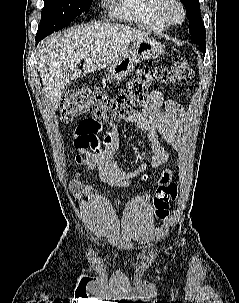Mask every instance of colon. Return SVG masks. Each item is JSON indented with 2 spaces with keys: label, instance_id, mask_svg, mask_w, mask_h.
I'll return each mask as SVG.
<instances>
[{
  "label": "colon",
  "instance_id": "1",
  "mask_svg": "<svg viewBox=\"0 0 239 303\" xmlns=\"http://www.w3.org/2000/svg\"><path fill=\"white\" fill-rule=\"evenodd\" d=\"M192 76L193 70L189 61L178 57L169 67L142 70L128 82L123 91L113 97L108 96L99 88H78L66 93L63 97L61 119L68 122L86 113L107 123L129 119L137 114L138 109L145 102L152 83L160 81L169 85L182 84L190 80ZM98 127L99 124L88 126L91 130ZM177 195V187L173 184L158 188L153 200L158 218L168 217L169 203L175 201Z\"/></svg>",
  "mask_w": 239,
  "mask_h": 303
}]
</instances>
